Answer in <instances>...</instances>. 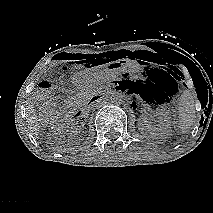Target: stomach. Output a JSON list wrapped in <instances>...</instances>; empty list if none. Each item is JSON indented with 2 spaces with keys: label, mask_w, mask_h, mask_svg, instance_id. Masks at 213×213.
Listing matches in <instances>:
<instances>
[{
  "label": "stomach",
  "mask_w": 213,
  "mask_h": 213,
  "mask_svg": "<svg viewBox=\"0 0 213 213\" xmlns=\"http://www.w3.org/2000/svg\"><path fill=\"white\" fill-rule=\"evenodd\" d=\"M134 66L128 62H116L97 68H92L89 72H83L73 78L76 85H83L91 81H99L105 78L117 77L126 75Z\"/></svg>",
  "instance_id": "0dacf381"
}]
</instances>
